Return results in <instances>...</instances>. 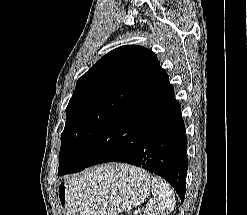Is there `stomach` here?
I'll list each match as a JSON object with an SVG mask.
<instances>
[{"instance_id": "1", "label": "stomach", "mask_w": 247, "mask_h": 215, "mask_svg": "<svg viewBox=\"0 0 247 215\" xmlns=\"http://www.w3.org/2000/svg\"><path fill=\"white\" fill-rule=\"evenodd\" d=\"M121 164L86 170L59 182L57 197L65 215H117L139 205L149 194L150 176L145 171ZM127 166V165H126Z\"/></svg>"}]
</instances>
